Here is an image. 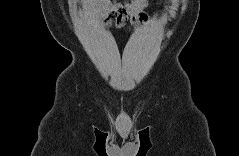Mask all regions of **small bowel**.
Listing matches in <instances>:
<instances>
[{"label": "small bowel", "instance_id": "c3829d8e", "mask_svg": "<svg viewBox=\"0 0 239 156\" xmlns=\"http://www.w3.org/2000/svg\"><path fill=\"white\" fill-rule=\"evenodd\" d=\"M79 7L87 14H103L108 16L106 22L114 20L115 28L121 30L127 23H131L134 29L143 24H154L146 10L149 3L146 0L120 1H80Z\"/></svg>", "mask_w": 239, "mask_h": 156}]
</instances>
